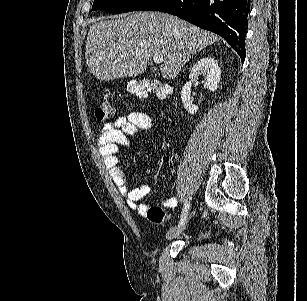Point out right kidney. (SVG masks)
<instances>
[{
    "instance_id": "ca27d5eb",
    "label": "right kidney",
    "mask_w": 307,
    "mask_h": 301,
    "mask_svg": "<svg viewBox=\"0 0 307 301\" xmlns=\"http://www.w3.org/2000/svg\"><path fill=\"white\" fill-rule=\"evenodd\" d=\"M200 74L204 76V80H201L204 88H209V90L214 92V90L218 88L221 78L220 66H218L217 60L212 58V56H205V58H200V60L194 64L192 70H190L189 80H187L180 92L183 106L190 114H196V112H198L199 106H197V104H192L191 86L193 82H197L198 84Z\"/></svg>"
}]
</instances>
